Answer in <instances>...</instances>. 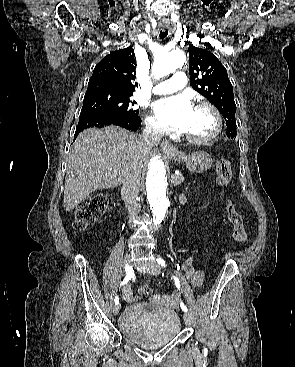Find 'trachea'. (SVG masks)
<instances>
[{"instance_id": "trachea-1", "label": "trachea", "mask_w": 295, "mask_h": 367, "mask_svg": "<svg viewBox=\"0 0 295 367\" xmlns=\"http://www.w3.org/2000/svg\"><path fill=\"white\" fill-rule=\"evenodd\" d=\"M167 34H168V30L166 29L165 31H160V35H159V37L161 38V39H163L164 37H166L167 36Z\"/></svg>"}]
</instances>
